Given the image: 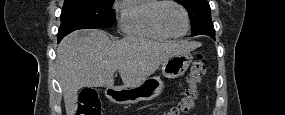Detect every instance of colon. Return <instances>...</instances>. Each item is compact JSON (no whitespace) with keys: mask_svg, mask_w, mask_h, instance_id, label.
Here are the masks:
<instances>
[{"mask_svg":"<svg viewBox=\"0 0 285 115\" xmlns=\"http://www.w3.org/2000/svg\"><path fill=\"white\" fill-rule=\"evenodd\" d=\"M206 73V65L202 56L195 59L189 69L186 81L187 87L184 95L178 104L166 114L168 115H187L194 109L196 101L199 97V87ZM78 115H99L100 102L97 95L92 89H86L81 92L79 105L77 109Z\"/></svg>","mask_w":285,"mask_h":115,"instance_id":"1","label":"colon"}]
</instances>
